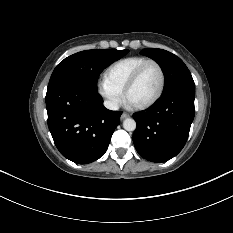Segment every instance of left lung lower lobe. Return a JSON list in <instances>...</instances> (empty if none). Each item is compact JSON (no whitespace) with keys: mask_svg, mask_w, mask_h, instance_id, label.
Masks as SVG:
<instances>
[{"mask_svg":"<svg viewBox=\"0 0 233 233\" xmlns=\"http://www.w3.org/2000/svg\"><path fill=\"white\" fill-rule=\"evenodd\" d=\"M195 89H176L162 94L146 111L136 112L133 143L146 160L165 162L184 147L194 119Z\"/></svg>","mask_w":233,"mask_h":233,"instance_id":"0a47b994","label":"left lung lower lobe"}]
</instances>
